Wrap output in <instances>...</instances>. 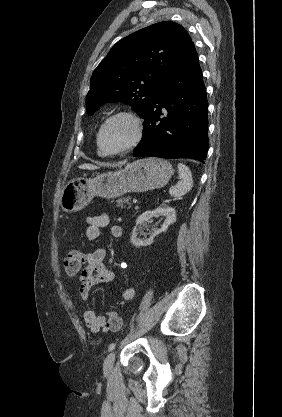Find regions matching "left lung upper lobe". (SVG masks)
Listing matches in <instances>:
<instances>
[{"instance_id":"left-lung-upper-lobe-1","label":"left lung upper lobe","mask_w":282,"mask_h":417,"mask_svg":"<svg viewBox=\"0 0 282 417\" xmlns=\"http://www.w3.org/2000/svg\"><path fill=\"white\" fill-rule=\"evenodd\" d=\"M191 44L185 29L171 21L123 38L92 74L87 113L92 115L106 102L123 101L144 118L166 73Z\"/></svg>"}]
</instances>
